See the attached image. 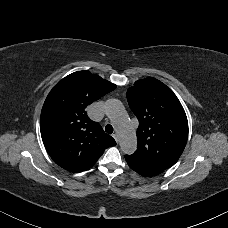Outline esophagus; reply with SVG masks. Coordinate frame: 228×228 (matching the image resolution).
I'll use <instances>...</instances> for the list:
<instances>
[{
    "mask_svg": "<svg viewBox=\"0 0 228 228\" xmlns=\"http://www.w3.org/2000/svg\"><path fill=\"white\" fill-rule=\"evenodd\" d=\"M113 138L115 139V141L118 142V136H117V134H113Z\"/></svg>",
    "mask_w": 228,
    "mask_h": 228,
    "instance_id": "obj_1",
    "label": "esophagus"
}]
</instances>
